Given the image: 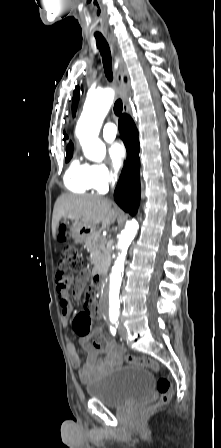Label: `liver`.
Wrapping results in <instances>:
<instances>
[{
  "instance_id": "liver-1",
  "label": "liver",
  "mask_w": 221,
  "mask_h": 448,
  "mask_svg": "<svg viewBox=\"0 0 221 448\" xmlns=\"http://www.w3.org/2000/svg\"><path fill=\"white\" fill-rule=\"evenodd\" d=\"M117 212L112 203L99 196L61 195L54 206L52 218V233L54 238L58 234L59 222L62 218L81 221L84 226H95L102 223L108 228L115 222Z\"/></svg>"
}]
</instances>
